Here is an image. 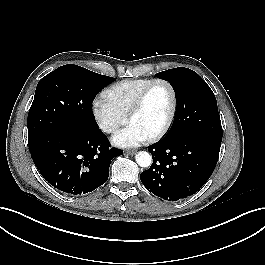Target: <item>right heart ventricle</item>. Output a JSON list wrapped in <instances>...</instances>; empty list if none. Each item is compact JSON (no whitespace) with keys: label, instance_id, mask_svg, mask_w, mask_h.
<instances>
[{"label":"right heart ventricle","instance_id":"e07e8e85","mask_svg":"<svg viewBox=\"0 0 265 265\" xmlns=\"http://www.w3.org/2000/svg\"><path fill=\"white\" fill-rule=\"evenodd\" d=\"M152 80L150 78H140L117 82L104 91V99L127 117L140 91Z\"/></svg>","mask_w":265,"mask_h":265}]
</instances>
